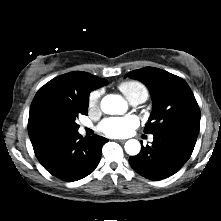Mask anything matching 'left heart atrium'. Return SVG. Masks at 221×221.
Returning <instances> with one entry per match:
<instances>
[{"label":"left heart atrium","instance_id":"left-heart-atrium-1","mask_svg":"<svg viewBox=\"0 0 221 221\" xmlns=\"http://www.w3.org/2000/svg\"><path fill=\"white\" fill-rule=\"evenodd\" d=\"M138 124V118L134 115L111 117L105 119L99 129L108 136L122 138L130 135Z\"/></svg>","mask_w":221,"mask_h":221}]
</instances>
